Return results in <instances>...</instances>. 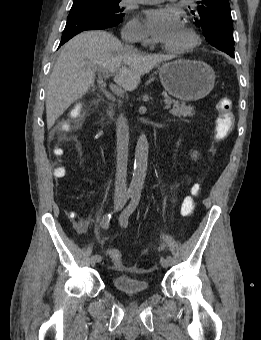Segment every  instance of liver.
<instances>
[{
  "label": "liver",
  "mask_w": 261,
  "mask_h": 340,
  "mask_svg": "<svg viewBox=\"0 0 261 340\" xmlns=\"http://www.w3.org/2000/svg\"><path fill=\"white\" fill-rule=\"evenodd\" d=\"M167 56L146 55L123 47L112 34L87 31L68 41L51 73L46 93L47 127L94 86L95 66L108 69L127 91L136 89L141 75L149 73Z\"/></svg>",
  "instance_id": "1"
}]
</instances>
